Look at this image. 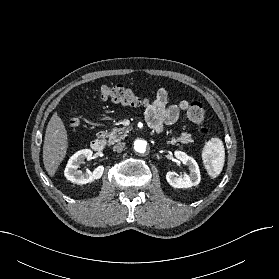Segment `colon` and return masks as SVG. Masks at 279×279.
<instances>
[{
  "label": "colon",
  "mask_w": 279,
  "mask_h": 279,
  "mask_svg": "<svg viewBox=\"0 0 279 279\" xmlns=\"http://www.w3.org/2000/svg\"><path fill=\"white\" fill-rule=\"evenodd\" d=\"M99 96L103 100H111L127 106H142L146 104V99L136 95L132 90L122 86H102L99 90ZM187 118L199 124V132L205 137L209 133L208 122L206 120L205 110L201 103L193 102L187 110ZM71 125L77 126L79 121L76 118L71 120Z\"/></svg>",
  "instance_id": "obj_1"
}]
</instances>
